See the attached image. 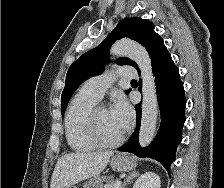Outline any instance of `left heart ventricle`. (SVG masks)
<instances>
[{"mask_svg":"<svg viewBox=\"0 0 224 188\" xmlns=\"http://www.w3.org/2000/svg\"><path fill=\"white\" fill-rule=\"evenodd\" d=\"M98 128L100 135L106 140H114L124 132L107 109H101L98 113Z\"/></svg>","mask_w":224,"mask_h":188,"instance_id":"obj_1","label":"left heart ventricle"}]
</instances>
